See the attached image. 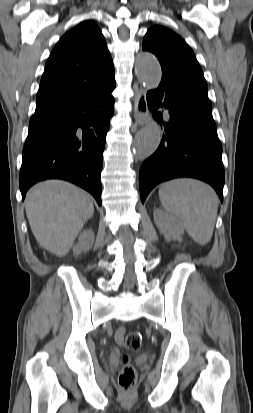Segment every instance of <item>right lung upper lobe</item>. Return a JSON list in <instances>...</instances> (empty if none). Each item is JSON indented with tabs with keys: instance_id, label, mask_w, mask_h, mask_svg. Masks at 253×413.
I'll return each instance as SVG.
<instances>
[{
	"instance_id": "1",
	"label": "right lung upper lobe",
	"mask_w": 253,
	"mask_h": 413,
	"mask_svg": "<svg viewBox=\"0 0 253 413\" xmlns=\"http://www.w3.org/2000/svg\"><path fill=\"white\" fill-rule=\"evenodd\" d=\"M114 75L104 36L84 21L56 44L45 66L32 117L54 116L69 104L93 96Z\"/></svg>"
}]
</instances>
